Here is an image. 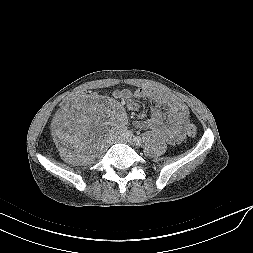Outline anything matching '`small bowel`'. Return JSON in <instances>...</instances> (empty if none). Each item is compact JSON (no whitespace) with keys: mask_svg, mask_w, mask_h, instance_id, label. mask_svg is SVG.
Listing matches in <instances>:
<instances>
[{"mask_svg":"<svg viewBox=\"0 0 253 253\" xmlns=\"http://www.w3.org/2000/svg\"><path fill=\"white\" fill-rule=\"evenodd\" d=\"M113 96L126 104L129 110L138 109V104L134 101L135 98L151 100L154 103L153 117L145 121H136L134 125L139 129H148L159 134L170 144H177L183 140L184 127L189 121V111L179 99L146 88L117 89ZM60 130L61 133H65L66 118L61 120Z\"/></svg>","mask_w":253,"mask_h":253,"instance_id":"1","label":"small bowel"}]
</instances>
